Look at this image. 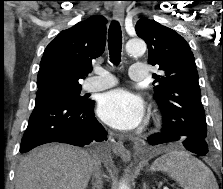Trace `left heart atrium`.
<instances>
[{"mask_svg": "<svg viewBox=\"0 0 223 189\" xmlns=\"http://www.w3.org/2000/svg\"><path fill=\"white\" fill-rule=\"evenodd\" d=\"M97 113L108 125L119 130H131L141 123L144 104L139 96L125 89H115L100 97Z\"/></svg>", "mask_w": 223, "mask_h": 189, "instance_id": "left-heart-atrium-1", "label": "left heart atrium"}]
</instances>
